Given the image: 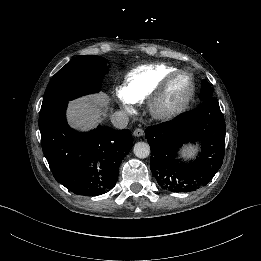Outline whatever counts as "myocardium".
I'll use <instances>...</instances> for the list:
<instances>
[{
    "label": "myocardium",
    "mask_w": 261,
    "mask_h": 261,
    "mask_svg": "<svg viewBox=\"0 0 261 261\" xmlns=\"http://www.w3.org/2000/svg\"><path fill=\"white\" fill-rule=\"evenodd\" d=\"M178 78H185L189 91L179 103L170 105L168 99L175 81ZM195 94V84L189 73L183 70H176L160 86L159 90L149 101L151 115L158 120H168L180 115L189 105Z\"/></svg>",
    "instance_id": "myocardium-1"
}]
</instances>
